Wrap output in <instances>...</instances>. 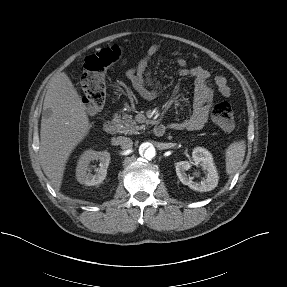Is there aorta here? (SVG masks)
Here are the masks:
<instances>
[{
	"label": "aorta",
	"mask_w": 287,
	"mask_h": 287,
	"mask_svg": "<svg viewBox=\"0 0 287 287\" xmlns=\"http://www.w3.org/2000/svg\"><path fill=\"white\" fill-rule=\"evenodd\" d=\"M139 153L141 156H143L147 160H151L155 157L156 155V150L155 147L149 143V142H144L140 145L139 147Z\"/></svg>",
	"instance_id": "1"
}]
</instances>
